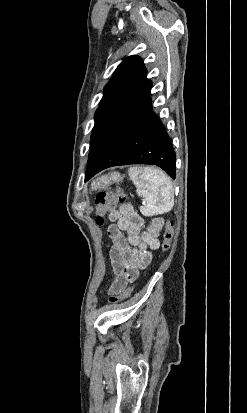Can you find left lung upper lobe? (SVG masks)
Segmentation results:
<instances>
[{"label": "left lung upper lobe", "mask_w": 247, "mask_h": 413, "mask_svg": "<svg viewBox=\"0 0 247 413\" xmlns=\"http://www.w3.org/2000/svg\"><path fill=\"white\" fill-rule=\"evenodd\" d=\"M146 72L142 59L137 56L125 58L117 67L95 113L90 149L152 86Z\"/></svg>", "instance_id": "1"}]
</instances>
